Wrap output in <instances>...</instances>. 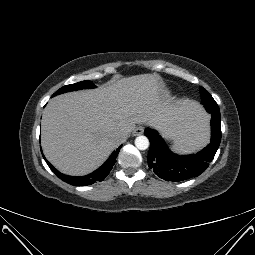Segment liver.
<instances>
[{
    "label": "liver",
    "instance_id": "6515ba94",
    "mask_svg": "<svg viewBox=\"0 0 255 255\" xmlns=\"http://www.w3.org/2000/svg\"><path fill=\"white\" fill-rule=\"evenodd\" d=\"M203 115L191 100L163 97L159 76L135 75L53 98L43 112L41 144L59 171L84 175L101 165L119 144L116 131L129 135L135 124H147L177 138Z\"/></svg>",
    "mask_w": 255,
    "mask_h": 255
}]
</instances>
